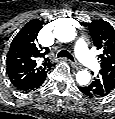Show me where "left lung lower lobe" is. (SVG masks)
Listing matches in <instances>:
<instances>
[{"instance_id":"0a47b994","label":"left lung lower lobe","mask_w":115,"mask_h":119,"mask_svg":"<svg viewBox=\"0 0 115 119\" xmlns=\"http://www.w3.org/2000/svg\"><path fill=\"white\" fill-rule=\"evenodd\" d=\"M79 90L91 98L106 97L115 91V80L107 75L100 74L91 84L83 85L82 87H79Z\"/></svg>"}]
</instances>
